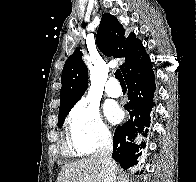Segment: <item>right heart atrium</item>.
<instances>
[{"mask_svg": "<svg viewBox=\"0 0 196 182\" xmlns=\"http://www.w3.org/2000/svg\"><path fill=\"white\" fill-rule=\"evenodd\" d=\"M67 130L71 149L80 155L90 154L108 144L111 132L96 104L80 101L67 117Z\"/></svg>", "mask_w": 196, "mask_h": 182, "instance_id": "obj_1", "label": "right heart atrium"}]
</instances>
